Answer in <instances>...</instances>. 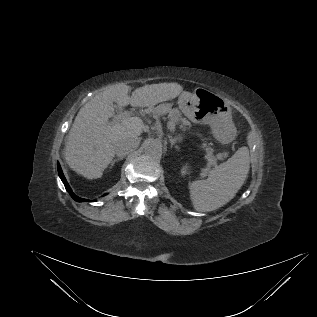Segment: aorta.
<instances>
[{
  "label": "aorta",
  "instance_id": "aorta-1",
  "mask_svg": "<svg viewBox=\"0 0 317 317\" xmlns=\"http://www.w3.org/2000/svg\"><path fill=\"white\" fill-rule=\"evenodd\" d=\"M143 147L148 156L159 157L162 154V144L157 139H149L145 141Z\"/></svg>",
  "mask_w": 317,
  "mask_h": 317
}]
</instances>
